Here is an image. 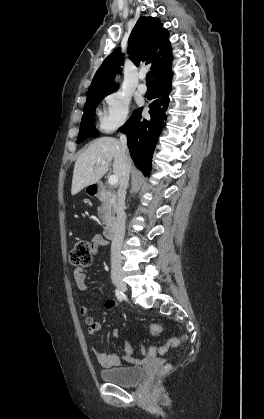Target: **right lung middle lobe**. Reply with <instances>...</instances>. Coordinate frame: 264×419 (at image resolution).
Wrapping results in <instances>:
<instances>
[{
  "label": "right lung middle lobe",
  "instance_id": "dd1d6c3e",
  "mask_svg": "<svg viewBox=\"0 0 264 419\" xmlns=\"http://www.w3.org/2000/svg\"><path fill=\"white\" fill-rule=\"evenodd\" d=\"M107 95L108 94H102L87 98L84 107V114L81 120L80 132L78 135L77 143L81 142L85 138L95 137L99 135L94 126L93 116L97 105Z\"/></svg>",
  "mask_w": 264,
  "mask_h": 419
}]
</instances>
